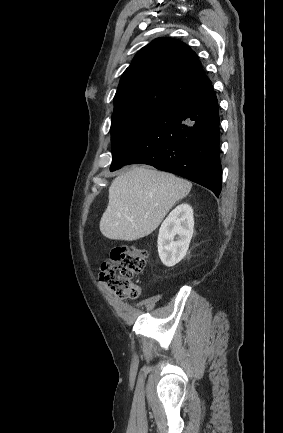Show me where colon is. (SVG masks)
Returning <instances> with one entry per match:
<instances>
[{"label": "colon", "mask_w": 283, "mask_h": 433, "mask_svg": "<svg viewBox=\"0 0 283 433\" xmlns=\"http://www.w3.org/2000/svg\"><path fill=\"white\" fill-rule=\"evenodd\" d=\"M147 254L133 246H119L111 251L109 259L101 264L100 280L116 295L136 298L140 287L132 282L146 264Z\"/></svg>", "instance_id": "5ec220e1"}]
</instances>
